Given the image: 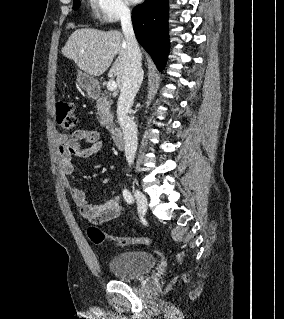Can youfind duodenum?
Masks as SVG:
<instances>
[{
	"label": "duodenum",
	"instance_id": "410a0bca",
	"mask_svg": "<svg viewBox=\"0 0 284 319\" xmlns=\"http://www.w3.org/2000/svg\"><path fill=\"white\" fill-rule=\"evenodd\" d=\"M91 95L93 97H97V92L96 91H92ZM106 129L109 131V133L111 134L112 140L114 142V144L118 147V148H122L125 145V137L123 132L117 128L115 125L108 123L106 125Z\"/></svg>",
	"mask_w": 284,
	"mask_h": 319
}]
</instances>
